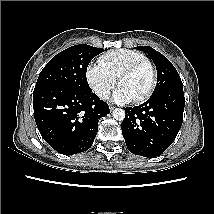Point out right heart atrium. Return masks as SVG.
<instances>
[{
    "mask_svg": "<svg viewBox=\"0 0 214 214\" xmlns=\"http://www.w3.org/2000/svg\"><path fill=\"white\" fill-rule=\"evenodd\" d=\"M85 78L93 93L100 99H106L116 85V78L100 62L87 66Z\"/></svg>",
    "mask_w": 214,
    "mask_h": 214,
    "instance_id": "obj_1",
    "label": "right heart atrium"
}]
</instances>
